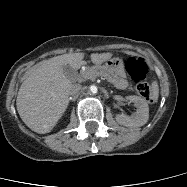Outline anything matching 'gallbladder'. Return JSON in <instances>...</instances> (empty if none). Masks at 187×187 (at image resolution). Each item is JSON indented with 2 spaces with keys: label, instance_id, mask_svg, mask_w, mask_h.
<instances>
[{
  "label": "gallbladder",
  "instance_id": "gallbladder-1",
  "mask_svg": "<svg viewBox=\"0 0 187 187\" xmlns=\"http://www.w3.org/2000/svg\"><path fill=\"white\" fill-rule=\"evenodd\" d=\"M63 71L67 78H72L74 76V69L69 65L63 66Z\"/></svg>",
  "mask_w": 187,
  "mask_h": 187
}]
</instances>
